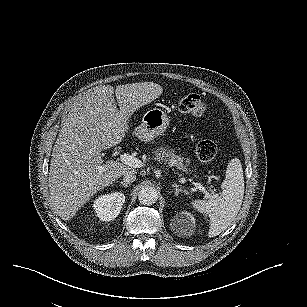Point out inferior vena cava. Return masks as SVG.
Wrapping results in <instances>:
<instances>
[{
  "label": "inferior vena cava",
  "mask_w": 307,
  "mask_h": 307,
  "mask_svg": "<svg viewBox=\"0 0 307 307\" xmlns=\"http://www.w3.org/2000/svg\"><path fill=\"white\" fill-rule=\"evenodd\" d=\"M123 180L127 184L133 183L136 180V175L133 172H126L123 176Z\"/></svg>",
  "instance_id": "1"
}]
</instances>
